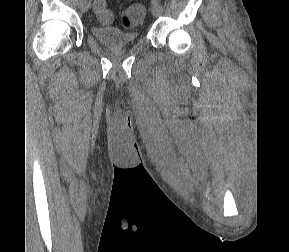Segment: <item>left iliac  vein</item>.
<instances>
[{
    "mask_svg": "<svg viewBox=\"0 0 289 252\" xmlns=\"http://www.w3.org/2000/svg\"><path fill=\"white\" fill-rule=\"evenodd\" d=\"M151 13L154 17H158L162 13V7L160 4H152Z\"/></svg>",
    "mask_w": 289,
    "mask_h": 252,
    "instance_id": "4c4485c4",
    "label": "left iliac vein"
}]
</instances>
